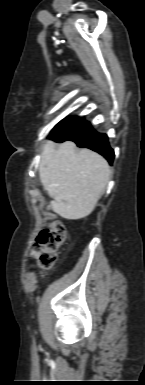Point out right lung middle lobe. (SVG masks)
Segmentation results:
<instances>
[{"mask_svg":"<svg viewBox=\"0 0 145 385\" xmlns=\"http://www.w3.org/2000/svg\"><path fill=\"white\" fill-rule=\"evenodd\" d=\"M79 120V117H71L63 119L59 122L51 132V136L57 135L58 133L67 130Z\"/></svg>","mask_w":145,"mask_h":385,"instance_id":"dd1d6c3e","label":"right lung middle lobe"}]
</instances>
